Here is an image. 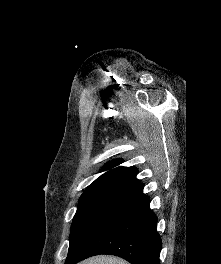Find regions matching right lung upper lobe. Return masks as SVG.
I'll list each match as a JSON object with an SVG mask.
<instances>
[{
    "instance_id": "obj_1",
    "label": "right lung upper lobe",
    "mask_w": 221,
    "mask_h": 264,
    "mask_svg": "<svg viewBox=\"0 0 221 264\" xmlns=\"http://www.w3.org/2000/svg\"><path fill=\"white\" fill-rule=\"evenodd\" d=\"M122 161L114 160L106 164L103 168L108 170L106 173L97 178L90 184L85 191L103 189V188H119L128 189L140 182L136 175L138 170L134 167H117Z\"/></svg>"
}]
</instances>
